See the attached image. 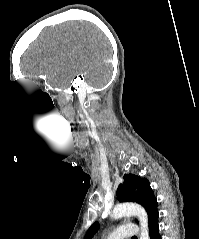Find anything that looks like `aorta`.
I'll return each mask as SVG.
<instances>
[{
    "label": "aorta",
    "instance_id": "762f6f07",
    "mask_svg": "<svg viewBox=\"0 0 199 239\" xmlns=\"http://www.w3.org/2000/svg\"><path fill=\"white\" fill-rule=\"evenodd\" d=\"M134 215L138 218L141 232L139 239H149L148 217L145 209L135 203L117 204L111 214V218L117 220L125 216Z\"/></svg>",
    "mask_w": 199,
    "mask_h": 239
}]
</instances>
